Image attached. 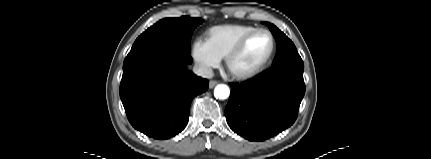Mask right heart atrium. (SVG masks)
<instances>
[{
	"mask_svg": "<svg viewBox=\"0 0 431 159\" xmlns=\"http://www.w3.org/2000/svg\"><path fill=\"white\" fill-rule=\"evenodd\" d=\"M191 54L201 71L208 75L217 68L221 59L214 53L205 40L196 39L191 45Z\"/></svg>",
	"mask_w": 431,
	"mask_h": 159,
	"instance_id": "1",
	"label": "right heart atrium"
}]
</instances>
